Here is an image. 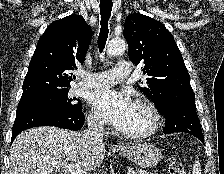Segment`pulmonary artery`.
<instances>
[{
    "label": "pulmonary artery",
    "instance_id": "obj_1",
    "mask_svg": "<svg viewBox=\"0 0 224 174\" xmlns=\"http://www.w3.org/2000/svg\"><path fill=\"white\" fill-rule=\"evenodd\" d=\"M131 73V65L129 62L120 61L112 70L88 74L82 72V80L79 82L81 87L100 88L113 85L119 80L126 78Z\"/></svg>",
    "mask_w": 224,
    "mask_h": 174
}]
</instances>
